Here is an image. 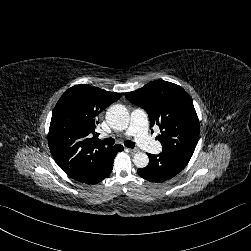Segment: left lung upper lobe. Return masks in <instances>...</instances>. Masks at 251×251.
Returning <instances> with one entry per match:
<instances>
[{"mask_svg":"<svg viewBox=\"0 0 251 251\" xmlns=\"http://www.w3.org/2000/svg\"><path fill=\"white\" fill-rule=\"evenodd\" d=\"M125 97L145 109L151 126L157 124L161 134L156 137L163 152L192 157L199 136V120L193 102L186 91L171 82L156 80L127 92Z\"/></svg>","mask_w":251,"mask_h":251,"instance_id":"obj_1","label":"left lung upper lobe"}]
</instances>
